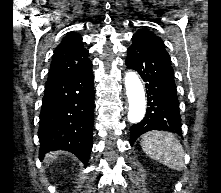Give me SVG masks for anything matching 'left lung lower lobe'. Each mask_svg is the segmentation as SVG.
Listing matches in <instances>:
<instances>
[{
    "label": "left lung lower lobe",
    "mask_w": 221,
    "mask_h": 193,
    "mask_svg": "<svg viewBox=\"0 0 221 193\" xmlns=\"http://www.w3.org/2000/svg\"><path fill=\"white\" fill-rule=\"evenodd\" d=\"M127 52L126 65L138 71L146 82L148 96L144 119L130 127V144L150 130H164L182 135L179 101L170 57L135 42Z\"/></svg>",
    "instance_id": "1"
}]
</instances>
